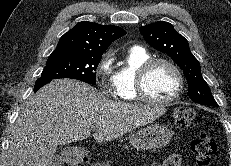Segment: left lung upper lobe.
<instances>
[{
  "label": "left lung upper lobe",
  "instance_id": "1",
  "mask_svg": "<svg viewBox=\"0 0 231 166\" xmlns=\"http://www.w3.org/2000/svg\"><path fill=\"white\" fill-rule=\"evenodd\" d=\"M145 41L170 56L183 70L188 82V95L196 103L218 106L208 84L202 77L198 60L191 53L188 41L173 25L158 21L139 28Z\"/></svg>",
  "mask_w": 231,
  "mask_h": 166
}]
</instances>
